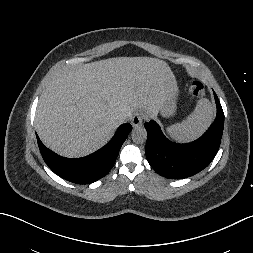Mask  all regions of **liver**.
<instances>
[{
  "instance_id": "liver-1",
  "label": "liver",
  "mask_w": 253,
  "mask_h": 253,
  "mask_svg": "<svg viewBox=\"0 0 253 253\" xmlns=\"http://www.w3.org/2000/svg\"><path fill=\"white\" fill-rule=\"evenodd\" d=\"M175 82L166 65L149 57H116L63 69L42 93L35 117L41 141L78 158L102 148L135 108L157 114Z\"/></svg>"
}]
</instances>
